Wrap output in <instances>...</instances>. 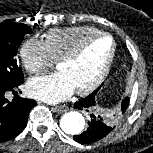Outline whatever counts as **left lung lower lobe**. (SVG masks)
Wrapping results in <instances>:
<instances>
[{
	"instance_id": "left-lung-lower-lobe-1",
	"label": "left lung lower lobe",
	"mask_w": 153,
	"mask_h": 153,
	"mask_svg": "<svg viewBox=\"0 0 153 153\" xmlns=\"http://www.w3.org/2000/svg\"><path fill=\"white\" fill-rule=\"evenodd\" d=\"M96 94H90L86 98L80 100L75 104V108L77 109H86L87 112H90L91 120L88 122L89 127L86 131L81 133L80 135L73 136L74 140L79 143H92L96 142L106 135H108L112 130L113 126L108 124L107 120L104 116L98 115L95 110L96 101H95ZM128 105H124L126 109ZM122 107V104H121Z\"/></svg>"
}]
</instances>
